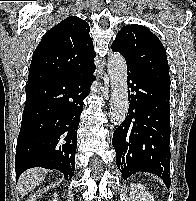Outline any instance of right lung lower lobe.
<instances>
[{
	"label": "right lung lower lobe",
	"mask_w": 196,
	"mask_h": 201,
	"mask_svg": "<svg viewBox=\"0 0 196 201\" xmlns=\"http://www.w3.org/2000/svg\"><path fill=\"white\" fill-rule=\"evenodd\" d=\"M95 68L93 64L70 75L26 85L15 156L17 179L33 167L56 169L66 180L72 178L83 99Z\"/></svg>",
	"instance_id": "right-lung-lower-lobe-1"
}]
</instances>
